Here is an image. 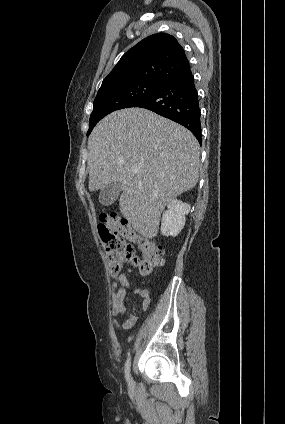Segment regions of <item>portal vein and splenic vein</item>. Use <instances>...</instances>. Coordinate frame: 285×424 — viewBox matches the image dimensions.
Listing matches in <instances>:
<instances>
[{"mask_svg": "<svg viewBox=\"0 0 285 424\" xmlns=\"http://www.w3.org/2000/svg\"><path fill=\"white\" fill-rule=\"evenodd\" d=\"M132 172L133 173H138L139 172V168L138 167H133L132 168Z\"/></svg>", "mask_w": 285, "mask_h": 424, "instance_id": "obj_1", "label": "portal vein and splenic vein"}]
</instances>
